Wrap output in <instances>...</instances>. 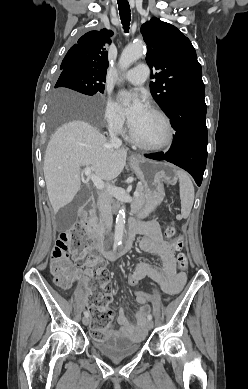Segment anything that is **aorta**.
Here are the masks:
<instances>
[{
	"instance_id": "aorta-1",
	"label": "aorta",
	"mask_w": 248,
	"mask_h": 389,
	"mask_svg": "<svg viewBox=\"0 0 248 389\" xmlns=\"http://www.w3.org/2000/svg\"><path fill=\"white\" fill-rule=\"evenodd\" d=\"M145 46L141 43L130 44L122 52L119 59V67L121 70L129 68L136 60L144 54ZM126 209L122 206L116 217L114 242L121 246L123 242L124 227H125Z\"/></svg>"
}]
</instances>
